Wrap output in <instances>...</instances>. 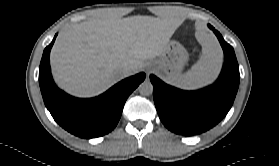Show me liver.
I'll list each match as a JSON object with an SVG mask.
<instances>
[{"mask_svg": "<svg viewBox=\"0 0 279 166\" xmlns=\"http://www.w3.org/2000/svg\"><path fill=\"white\" fill-rule=\"evenodd\" d=\"M181 23L169 13L164 18L104 16L76 24L51 50L54 80L73 95H98L124 78V66L132 68L131 75L159 56Z\"/></svg>", "mask_w": 279, "mask_h": 166, "instance_id": "liver-1", "label": "liver"}]
</instances>
